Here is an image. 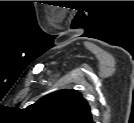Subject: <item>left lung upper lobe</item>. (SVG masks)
I'll list each match as a JSON object with an SVG mask.
<instances>
[{
    "label": "left lung upper lobe",
    "mask_w": 134,
    "mask_h": 123,
    "mask_svg": "<svg viewBox=\"0 0 134 123\" xmlns=\"http://www.w3.org/2000/svg\"><path fill=\"white\" fill-rule=\"evenodd\" d=\"M43 120L56 123H92L88 102L73 89L52 92L28 107Z\"/></svg>",
    "instance_id": "5c2ea615"
}]
</instances>
